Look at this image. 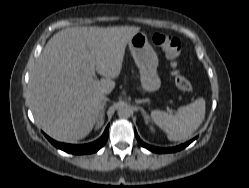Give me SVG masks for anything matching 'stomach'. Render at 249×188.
<instances>
[{"label":"stomach","instance_id":"0dacf381","mask_svg":"<svg viewBox=\"0 0 249 188\" xmlns=\"http://www.w3.org/2000/svg\"><path fill=\"white\" fill-rule=\"evenodd\" d=\"M140 73L141 87L145 92H153L160 88L161 81L157 73L158 57L143 32L136 33L128 42Z\"/></svg>","mask_w":249,"mask_h":188}]
</instances>
